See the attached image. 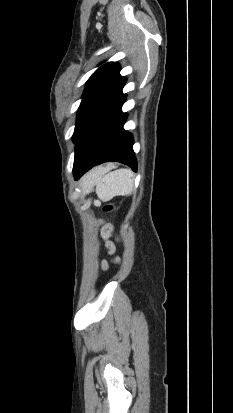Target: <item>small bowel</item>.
<instances>
[{
    "label": "small bowel",
    "mask_w": 233,
    "mask_h": 413,
    "mask_svg": "<svg viewBox=\"0 0 233 413\" xmlns=\"http://www.w3.org/2000/svg\"><path fill=\"white\" fill-rule=\"evenodd\" d=\"M110 249L112 250L113 249V246L110 244Z\"/></svg>",
    "instance_id": "obj_1"
}]
</instances>
